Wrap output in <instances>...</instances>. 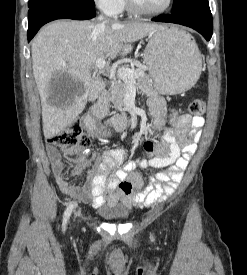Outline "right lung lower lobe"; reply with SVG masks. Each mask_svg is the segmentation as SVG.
Segmentation results:
<instances>
[{
    "label": "right lung lower lobe",
    "instance_id": "obj_1",
    "mask_svg": "<svg viewBox=\"0 0 247 275\" xmlns=\"http://www.w3.org/2000/svg\"><path fill=\"white\" fill-rule=\"evenodd\" d=\"M94 8L78 7L62 2L35 6L28 11V42L46 23L56 19L87 20L95 17Z\"/></svg>",
    "mask_w": 247,
    "mask_h": 275
}]
</instances>
